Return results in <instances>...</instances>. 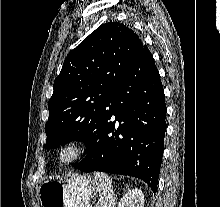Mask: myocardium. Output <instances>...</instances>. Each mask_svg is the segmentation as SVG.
I'll return each mask as SVG.
<instances>
[{
	"mask_svg": "<svg viewBox=\"0 0 220 207\" xmlns=\"http://www.w3.org/2000/svg\"><path fill=\"white\" fill-rule=\"evenodd\" d=\"M85 153V144L77 138H70L60 144L56 151L59 165H70L77 162Z\"/></svg>",
	"mask_w": 220,
	"mask_h": 207,
	"instance_id": "f54148a6",
	"label": "myocardium"
}]
</instances>
